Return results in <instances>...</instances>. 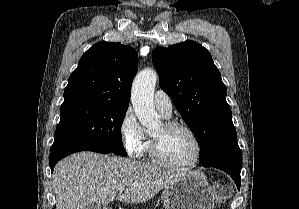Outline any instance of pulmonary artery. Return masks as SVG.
Here are the masks:
<instances>
[{
    "label": "pulmonary artery",
    "mask_w": 299,
    "mask_h": 209,
    "mask_svg": "<svg viewBox=\"0 0 299 209\" xmlns=\"http://www.w3.org/2000/svg\"><path fill=\"white\" fill-rule=\"evenodd\" d=\"M154 104L156 109L166 118L172 114V101L170 96L162 91L157 90L154 94Z\"/></svg>",
    "instance_id": "1"
}]
</instances>
